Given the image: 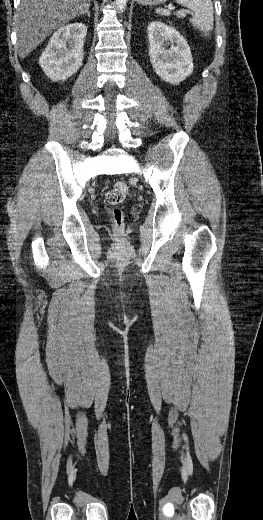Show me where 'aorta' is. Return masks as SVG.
<instances>
[{"label": "aorta", "instance_id": "obj_1", "mask_svg": "<svg viewBox=\"0 0 263 520\" xmlns=\"http://www.w3.org/2000/svg\"><path fill=\"white\" fill-rule=\"evenodd\" d=\"M128 0H115V5L119 13H123L126 9Z\"/></svg>", "mask_w": 263, "mask_h": 520}]
</instances>
